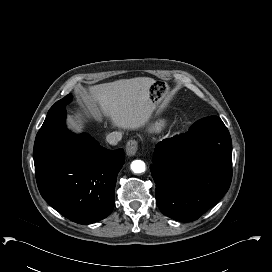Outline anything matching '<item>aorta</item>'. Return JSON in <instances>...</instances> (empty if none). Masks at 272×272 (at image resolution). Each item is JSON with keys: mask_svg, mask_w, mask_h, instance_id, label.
<instances>
[{"mask_svg": "<svg viewBox=\"0 0 272 272\" xmlns=\"http://www.w3.org/2000/svg\"><path fill=\"white\" fill-rule=\"evenodd\" d=\"M131 170L134 173H143L146 170V165L142 160H135L131 163Z\"/></svg>", "mask_w": 272, "mask_h": 272, "instance_id": "obj_1", "label": "aorta"}]
</instances>
